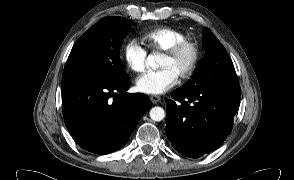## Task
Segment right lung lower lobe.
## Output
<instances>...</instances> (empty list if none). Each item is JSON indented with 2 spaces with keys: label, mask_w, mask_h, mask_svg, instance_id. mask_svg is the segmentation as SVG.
<instances>
[{
  "label": "right lung lower lobe",
  "mask_w": 294,
  "mask_h": 180,
  "mask_svg": "<svg viewBox=\"0 0 294 180\" xmlns=\"http://www.w3.org/2000/svg\"><path fill=\"white\" fill-rule=\"evenodd\" d=\"M130 81L78 79L62 84L63 117L85 150L107 154L123 147L152 103L145 94L126 91Z\"/></svg>",
  "instance_id": "obj_1"
}]
</instances>
